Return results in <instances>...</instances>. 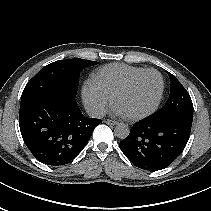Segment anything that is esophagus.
I'll return each instance as SVG.
<instances>
[{"label": "esophagus", "mask_w": 211, "mask_h": 211, "mask_svg": "<svg viewBox=\"0 0 211 211\" xmlns=\"http://www.w3.org/2000/svg\"><path fill=\"white\" fill-rule=\"evenodd\" d=\"M105 123H106V124H108V125H112V126H114V125H117V124H118V122H117V121L110 120V119H107V120L105 121Z\"/></svg>", "instance_id": "esophagus-1"}]
</instances>
